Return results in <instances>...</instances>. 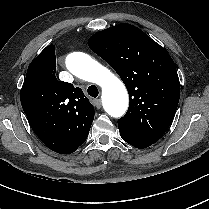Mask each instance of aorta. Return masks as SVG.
Instances as JSON below:
<instances>
[{"instance_id": "1", "label": "aorta", "mask_w": 209, "mask_h": 209, "mask_svg": "<svg viewBox=\"0 0 209 209\" xmlns=\"http://www.w3.org/2000/svg\"><path fill=\"white\" fill-rule=\"evenodd\" d=\"M66 66L77 77L102 88L103 106L110 116L119 118L124 115L129 103L128 93L122 81L109 69L83 52L69 54Z\"/></svg>"}]
</instances>
